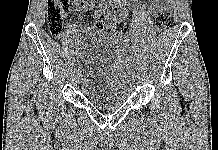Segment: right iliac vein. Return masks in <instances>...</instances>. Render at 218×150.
<instances>
[{
  "instance_id": "right-iliac-vein-1",
  "label": "right iliac vein",
  "mask_w": 218,
  "mask_h": 150,
  "mask_svg": "<svg viewBox=\"0 0 218 150\" xmlns=\"http://www.w3.org/2000/svg\"><path fill=\"white\" fill-rule=\"evenodd\" d=\"M79 62H80V61L78 60V63H79ZM79 71H80V69H79V68H77V69H76V71H75V73H76V74H75V77H76V78H77V77H78V75H79Z\"/></svg>"
}]
</instances>
